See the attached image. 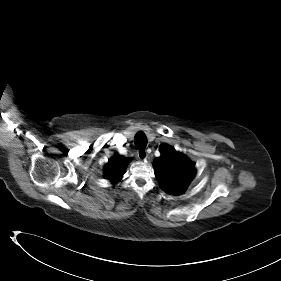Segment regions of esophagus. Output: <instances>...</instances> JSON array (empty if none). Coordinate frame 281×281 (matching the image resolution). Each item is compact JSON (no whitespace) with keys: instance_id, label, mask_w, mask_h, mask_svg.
Masks as SVG:
<instances>
[{"instance_id":"obj_1","label":"esophagus","mask_w":281,"mask_h":281,"mask_svg":"<svg viewBox=\"0 0 281 281\" xmlns=\"http://www.w3.org/2000/svg\"><path fill=\"white\" fill-rule=\"evenodd\" d=\"M147 156H148V154H147L146 149H144V148L138 149V151H137V157H138L140 160H146V159H147Z\"/></svg>"}]
</instances>
